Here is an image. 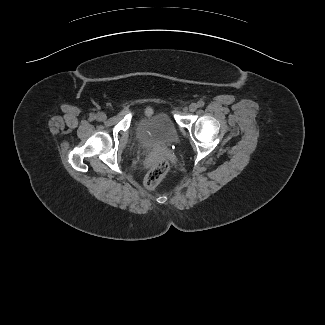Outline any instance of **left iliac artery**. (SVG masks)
<instances>
[{
    "instance_id": "1",
    "label": "left iliac artery",
    "mask_w": 325,
    "mask_h": 325,
    "mask_svg": "<svg viewBox=\"0 0 325 325\" xmlns=\"http://www.w3.org/2000/svg\"><path fill=\"white\" fill-rule=\"evenodd\" d=\"M204 104H205V103H204L203 100H199V101L197 102L198 107H203Z\"/></svg>"
}]
</instances>
